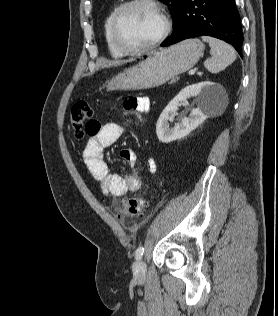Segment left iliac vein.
<instances>
[{
    "label": "left iliac vein",
    "instance_id": "obj_1",
    "mask_svg": "<svg viewBox=\"0 0 278 316\" xmlns=\"http://www.w3.org/2000/svg\"><path fill=\"white\" fill-rule=\"evenodd\" d=\"M133 272L136 277H142L146 272V264L143 260H138L133 265Z\"/></svg>",
    "mask_w": 278,
    "mask_h": 316
}]
</instances>
